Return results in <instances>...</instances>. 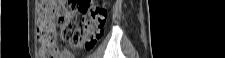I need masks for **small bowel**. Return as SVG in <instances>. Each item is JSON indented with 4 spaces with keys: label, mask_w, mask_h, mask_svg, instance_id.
<instances>
[{
    "label": "small bowel",
    "mask_w": 225,
    "mask_h": 58,
    "mask_svg": "<svg viewBox=\"0 0 225 58\" xmlns=\"http://www.w3.org/2000/svg\"><path fill=\"white\" fill-rule=\"evenodd\" d=\"M64 58H71V56L70 55H65Z\"/></svg>",
    "instance_id": "1"
}]
</instances>
